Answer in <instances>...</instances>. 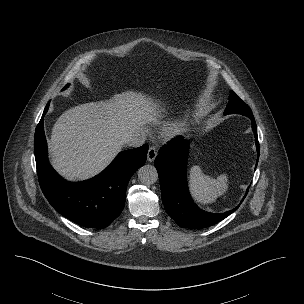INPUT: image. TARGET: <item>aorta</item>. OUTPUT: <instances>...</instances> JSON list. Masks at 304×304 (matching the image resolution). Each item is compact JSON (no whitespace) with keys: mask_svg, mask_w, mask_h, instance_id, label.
Returning a JSON list of instances; mask_svg holds the SVG:
<instances>
[{"mask_svg":"<svg viewBox=\"0 0 304 304\" xmlns=\"http://www.w3.org/2000/svg\"><path fill=\"white\" fill-rule=\"evenodd\" d=\"M138 179L144 185L154 184L158 179V173L154 166L144 165L138 170Z\"/></svg>","mask_w":304,"mask_h":304,"instance_id":"1","label":"aorta"}]
</instances>
